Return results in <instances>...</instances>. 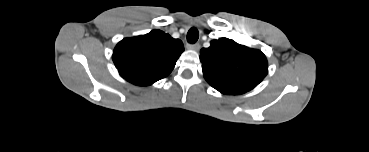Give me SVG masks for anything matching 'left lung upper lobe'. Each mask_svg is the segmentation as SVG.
Wrapping results in <instances>:
<instances>
[{"label":"left lung upper lobe","mask_w":369,"mask_h":152,"mask_svg":"<svg viewBox=\"0 0 369 152\" xmlns=\"http://www.w3.org/2000/svg\"><path fill=\"white\" fill-rule=\"evenodd\" d=\"M206 81L227 95H238L256 87L268 73L265 55L228 38L211 41L200 51Z\"/></svg>","instance_id":"obj_1"}]
</instances>
